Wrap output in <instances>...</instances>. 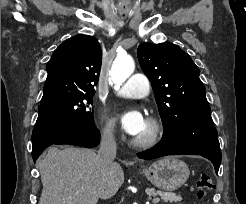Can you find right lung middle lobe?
<instances>
[{
    "mask_svg": "<svg viewBox=\"0 0 246 204\" xmlns=\"http://www.w3.org/2000/svg\"><path fill=\"white\" fill-rule=\"evenodd\" d=\"M93 96L94 93H70L41 101L36 124L90 125Z\"/></svg>",
    "mask_w": 246,
    "mask_h": 204,
    "instance_id": "obj_1",
    "label": "right lung middle lobe"
}]
</instances>
